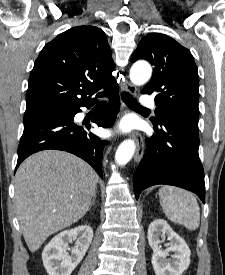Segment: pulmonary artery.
Here are the masks:
<instances>
[{
  "mask_svg": "<svg viewBox=\"0 0 225 275\" xmlns=\"http://www.w3.org/2000/svg\"><path fill=\"white\" fill-rule=\"evenodd\" d=\"M140 106L144 108H153L155 106V103L152 97L142 96L140 100Z\"/></svg>",
  "mask_w": 225,
  "mask_h": 275,
  "instance_id": "pulmonary-artery-1",
  "label": "pulmonary artery"
}]
</instances>
